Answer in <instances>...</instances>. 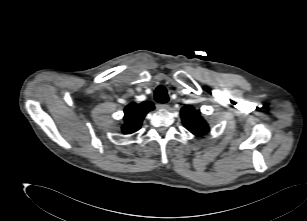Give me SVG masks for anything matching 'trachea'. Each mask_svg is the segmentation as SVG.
Masks as SVG:
<instances>
[{
	"instance_id": "trachea-1",
	"label": "trachea",
	"mask_w": 307,
	"mask_h": 221,
	"mask_svg": "<svg viewBox=\"0 0 307 221\" xmlns=\"http://www.w3.org/2000/svg\"><path fill=\"white\" fill-rule=\"evenodd\" d=\"M154 98L158 103H167L169 96L164 86L160 85L156 88Z\"/></svg>"
}]
</instances>
